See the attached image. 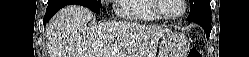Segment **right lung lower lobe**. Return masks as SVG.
Here are the masks:
<instances>
[{
    "label": "right lung lower lobe",
    "mask_w": 249,
    "mask_h": 57,
    "mask_svg": "<svg viewBox=\"0 0 249 57\" xmlns=\"http://www.w3.org/2000/svg\"><path fill=\"white\" fill-rule=\"evenodd\" d=\"M62 6L57 7V6H51L48 5L47 10H46V14L44 16V25H46V23L49 21V19L59 10L61 9Z\"/></svg>",
    "instance_id": "1"
}]
</instances>
